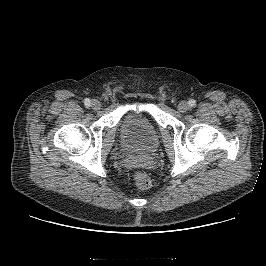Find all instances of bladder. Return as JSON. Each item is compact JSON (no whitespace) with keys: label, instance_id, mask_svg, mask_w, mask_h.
Here are the masks:
<instances>
[{"label":"bladder","instance_id":"31cf9c89","mask_svg":"<svg viewBox=\"0 0 266 266\" xmlns=\"http://www.w3.org/2000/svg\"><path fill=\"white\" fill-rule=\"evenodd\" d=\"M120 135L123 144L134 152L148 153L158 146V132L144 114L125 115L120 122Z\"/></svg>","mask_w":266,"mask_h":266}]
</instances>
